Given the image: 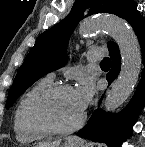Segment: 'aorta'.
<instances>
[{"mask_svg":"<svg viewBox=\"0 0 145 147\" xmlns=\"http://www.w3.org/2000/svg\"><path fill=\"white\" fill-rule=\"evenodd\" d=\"M97 31H106L117 43L121 54V71L109 91L104 109L116 110L131 95L141 71V51L137 36L128 23L114 15L100 16L80 25L81 36L88 37Z\"/></svg>","mask_w":145,"mask_h":147,"instance_id":"1","label":"aorta"}]
</instances>
